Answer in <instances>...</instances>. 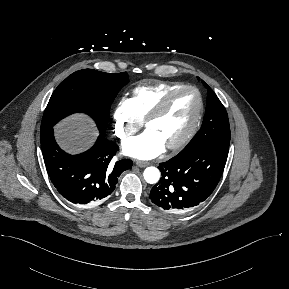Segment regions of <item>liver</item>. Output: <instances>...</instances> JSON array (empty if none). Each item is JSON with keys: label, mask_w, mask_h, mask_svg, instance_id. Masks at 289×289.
Returning a JSON list of instances; mask_svg holds the SVG:
<instances>
[{"label": "liver", "mask_w": 289, "mask_h": 289, "mask_svg": "<svg viewBox=\"0 0 289 289\" xmlns=\"http://www.w3.org/2000/svg\"><path fill=\"white\" fill-rule=\"evenodd\" d=\"M97 135L93 122L82 114L68 117L55 127L59 145L70 153H78L89 148Z\"/></svg>", "instance_id": "6515ba94"}]
</instances>
